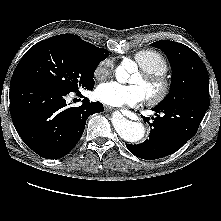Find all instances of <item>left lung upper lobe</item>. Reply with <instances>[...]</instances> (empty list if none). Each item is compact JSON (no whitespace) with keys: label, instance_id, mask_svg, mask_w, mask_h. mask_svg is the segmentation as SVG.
I'll list each match as a JSON object with an SVG mask.
<instances>
[{"label":"left lung upper lobe","instance_id":"left-lung-upper-lobe-1","mask_svg":"<svg viewBox=\"0 0 221 221\" xmlns=\"http://www.w3.org/2000/svg\"><path fill=\"white\" fill-rule=\"evenodd\" d=\"M151 46L165 52L172 68L169 94L158 104L191 103L209 99V77L200 57L189 47L174 41L161 40Z\"/></svg>","mask_w":221,"mask_h":221}]
</instances>
